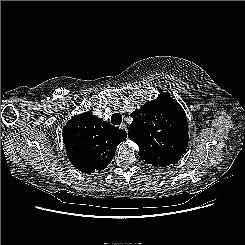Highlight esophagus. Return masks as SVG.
Masks as SVG:
<instances>
[{"label":"esophagus","mask_w":245,"mask_h":245,"mask_svg":"<svg viewBox=\"0 0 245 245\" xmlns=\"http://www.w3.org/2000/svg\"><path fill=\"white\" fill-rule=\"evenodd\" d=\"M120 128L127 132V125L125 123H122Z\"/></svg>","instance_id":"1"}]
</instances>
